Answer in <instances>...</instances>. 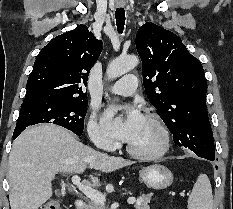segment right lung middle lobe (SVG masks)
<instances>
[{
	"label": "right lung middle lobe",
	"instance_id": "right-lung-middle-lobe-1",
	"mask_svg": "<svg viewBox=\"0 0 233 209\" xmlns=\"http://www.w3.org/2000/svg\"><path fill=\"white\" fill-rule=\"evenodd\" d=\"M84 100H45L21 105L15 131L38 123H52L63 126L76 135H81L87 110Z\"/></svg>",
	"mask_w": 233,
	"mask_h": 209
}]
</instances>
